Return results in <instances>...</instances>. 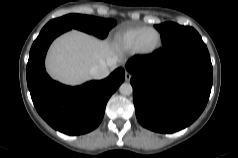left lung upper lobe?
<instances>
[{
  "mask_svg": "<svg viewBox=\"0 0 238 158\" xmlns=\"http://www.w3.org/2000/svg\"><path fill=\"white\" fill-rule=\"evenodd\" d=\"M155 28L161 33L163 45L168 44L176 38L196 32L192 27L180 26L173 22L155 25Z\"/></svg>",
  "mask_w": 238,
  "mask_h": 158,
  "instance_id": "1",
  "label": "left lung upper lobe"
}]
</instances>
